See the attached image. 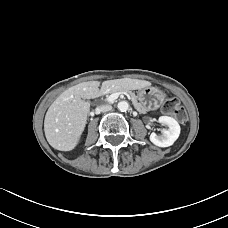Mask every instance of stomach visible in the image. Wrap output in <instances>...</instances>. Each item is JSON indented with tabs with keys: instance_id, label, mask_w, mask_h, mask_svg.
Returning a JSON list of instances; mask_svg holds the SVG:
<instances>
[{
	"instance_id": "stomach-1",
	"label": "stomach",
	"mask_w": 228,
	"mask_h": 228,
	"mask_svg": "<svg viewBox=\"0 0 228 228\" xmlns=\"http://www.w3.org/2000/svg\"><path fill=\"white\" fill-rule=\"evenodd\" d=\"M164 99V93L155 87L147 86L138 91V100L141 106L147 110L158 108Z\"/></svg>"
}]
</instances>
